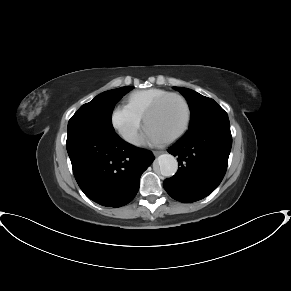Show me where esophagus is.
<instances>
[{"label": "esophagus", "instance_id": "1", "mask_svg": "<svg viewBox=\"0 0 291 291\" xmlns=\"http://www.w3.org/2000/svg\"><path fill=\"white\" fill-rule=\"evenodd\" d=\"M162 153H164L163 150H159V151H154V152H153V154H154L155 156H159V155L162 154Z\"/></svg>", "mask_w": 291, "mask_h": 291}]
</instances>
